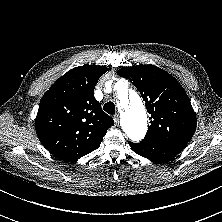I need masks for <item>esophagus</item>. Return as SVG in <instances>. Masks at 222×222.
<instances>
[{"instance_id": "1", "label": "esophagus", "mask_w": 222, "mask_h": 222, "mask_svg": "<svg viewBox=\"0 0 222 222\" xmlns=\"http://www.w3.org/2000/svg\"><path fill=\"white\" fill-rule=\"evenodd\" d=\"M114 121H115V124L116 125H119V122H120V115L119 114H116V115H114Z\"/></svg>"}]
</instances>
